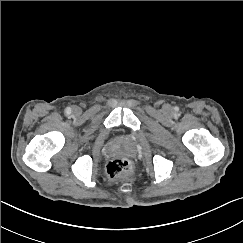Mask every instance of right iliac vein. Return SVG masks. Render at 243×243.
<instances>
[{
  "mask_svg": "<svg viewBox=\"0 0 243 243\" xmlns=\"http://www.w3.org/2000/svg\"><path fill=\"white\" fill-rule=\"evenodd\" d=\"M80 112H81V110H80V108L78 106H74L73 107V113L74 114H77L78 115V114H80Z\"/></svg>",
  "mask_w": 243,
  "mask_h": 243,
  "instance_id": "obj_1",
  "label": "right iliac vein"
}]
</instances>
